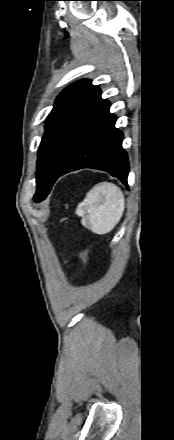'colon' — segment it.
<instances>
[{"instance_id":"5ec220e1","label":"colon","mask_w":174,"mask_h":440,"mask_svg":"<svg viewBox=\"0 0 174 440\" xmlns=\"http://www.w3.org/2000/svg\"><path fill=\"white\" fill-rule=\"evenodd\" d=\"M80 256H81V258L87 263V264H90L91 263V255H90V253L88 252V250H86V249H81V251H80Z\"/></svg>"}]
</instances>
